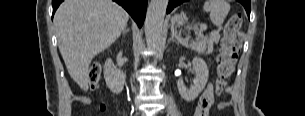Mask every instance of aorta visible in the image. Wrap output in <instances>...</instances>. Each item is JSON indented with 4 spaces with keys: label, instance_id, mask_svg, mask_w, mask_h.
<instances>
[{
    "label": "aorta",
    "instance_id": "762f6f07",
    "mask_svg": "<svg viewBox=\"0 0 305 116\" xmlns=\"http://www.w3.org/2000/svg\"><path fill=\"white\" fill-rule=\"evenodd\" d=\"M167 5L168 0H151L149 3L144 25L146 42L152 49L160 44Z\"/></svg>",
    "mask_w": 305,
    "mask_h": 116
}]
</instances>
